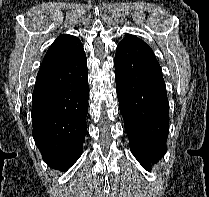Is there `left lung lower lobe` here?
<instances>
[{
  "label": "left lung lower lobe",
  "mask_w": 209,
  "mask_h": 197,
  "mask_svg": "<svg viewBox=\"0 0 209 197\" xmlns=\"http://www.w3.org/2000/svg\"><path fill=\"white\" fill-rule=\"evenodd\" d=\"M115 72L131 152L150 171L167 150L168 100L161 67L147 44L126 40L117 46Z\"/></svg>",
  "instance_id": "obj_1"
}]
</instances>
